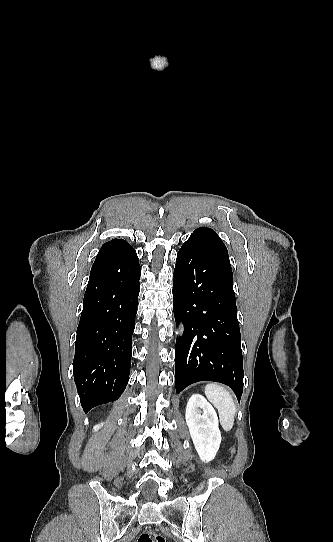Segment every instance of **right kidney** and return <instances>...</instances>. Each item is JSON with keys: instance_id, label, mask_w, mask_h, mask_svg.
<instances>
[{"instance_id": "right-kidney-1", "label": "right kidney", "mask_w": 333, "mask_h": 542, "mask_svg": "<svg viewBox=\"0 0 333 542\" xmlns=\"http://www.w3.org/2000/svg\"><path fill=\"white\" fill-rule=\"evenodd\" d=\"M101 426H102V424H101ZM101 426H94V428H93L94 432H97V430H99V428H101Z\"/></svg>"}]
</instances>
